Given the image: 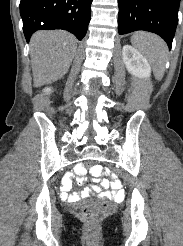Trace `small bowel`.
Here are the masks:
<instances>
[{"label": "small bowel", "mask_w": 183, "mask_h": 246, "mask_svg": "<svg viewBox=\"0 0 183 246\" xmlns=\"http://www.w3.org/2000/svg\"><path fill=\"white\" fill-rule=\"evenodd\" d=\"M73 169L75 170V173L78 174V182L81 184L83 182L82 178L83 175L85 174L86 170L82 165H74ZM70 169L69 173L70 174H64V180L62 184H60V189L62 190L61 197L62 198H67L73 201H76L82 197H86L90 191L89 190H84L81 193L78 194H73V195H68L67 192L72 188L71 185V179H75V174L74 170ZM91 172L90 173V178L92 183H95L92 186V191L100 194L103 197L113 199V200H119L123 197L124 192L122 190V185L118 180L115 178L111 179L112 183H109L108 180H102L103 174H113V169H105L104 167H91ZM109 186L112 187L113 191H107Z\"/></svg>", "instance_id": "1"}]
</instances>
